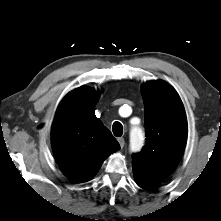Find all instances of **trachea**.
<instances>
[{"instance_id":"obj_1","label":"trachea","mask_w":221,"mask_h":221,"mask_svg":"<svg viewBox=\"0 0 221 221\" xmlns=\"http://www.w3.org/2000/svg\"><path fill=\"white\" fill-rule=\"evenodd\" d=\"M112 130L116 137H120L123 134V126L120 122H114L112 126Z\"/></svg>"}]
</instances>
